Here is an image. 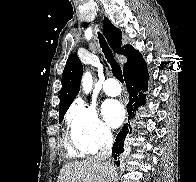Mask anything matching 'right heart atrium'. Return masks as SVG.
Instances as JSON below:
<instances>
[{
    "label": "right heart atrium",
    "instance_id": "1",
    "mask_svg": "<svg viewBox=\"0 0 196 182\" xmlns=\"http://www.w3.org/2000/svg\"><path fill=\"white\" fill-rule=\"evenodd\" d=\"M68 123L72 144L84 155L93 154L112 141V133L94 105L76 102L68 112Z\"/></svg>",
    "mask_w": 196,
    "mask_h": 182
}]
</instances>
